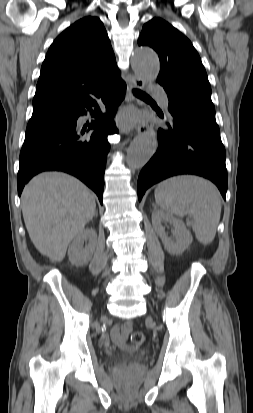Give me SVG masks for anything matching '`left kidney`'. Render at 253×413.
<instances>
[{
	"mask_svg": "<svg viewBox=\"0 0 253 413\" xmlns=\"http://www.w3.org/2000/svg\"><path fill=\"white\" fill-rule=\"evenodd\" d=\"M163 221L173 226V239L165 233V228L161 224ZM152 225L157 235L161 238L165 249L170 254H182L192 243V235L185 224L170 214L161 210H154L152 213Z\"/></svg>",
	"mask_w": 253,
	"mask_h": 413,
	"instance_id": "obj_1",
	"label": "left kidney"
}]
</instances>
